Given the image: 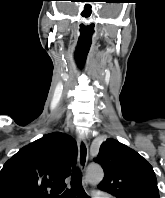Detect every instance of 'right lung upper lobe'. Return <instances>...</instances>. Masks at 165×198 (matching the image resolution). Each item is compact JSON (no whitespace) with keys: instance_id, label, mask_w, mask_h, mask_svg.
Returning a JSON list of instances; mask_svg holds the SVG:
<instances>
[{"instance_id":"obj_1","label":"right lung upper lobe","mask_w":165,"mask_h":198,"mask_svg":"<svg viewBox=\"0 0 165 198\" xmlns=\"http://www.w3.org/2000/svg\"><path fill=\"white\" fill-rule=\"evenodd\" d=\"M77 156L76 141L55 132L20 149L0 172V198H50L61 193Z\"/></svg>"}]
</instances>
